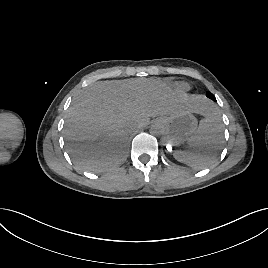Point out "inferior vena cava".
Segmentation results:
<instances>
[{
	"mask_svg": "<svg viewBox=\"0 0 268 268\" xmlns=\"http://www.w3.org/2000/svg\"><path fill=\"white\" fill-rule=\"evenodd\" d=\"M137 129V127H134L131 129V132H134Z\"/></svg>",
	"mask_w": 268,
	"mask_h": 268,
	"instance_id": "1",
	"label": "inferior vena cava"
}]
</instances>
